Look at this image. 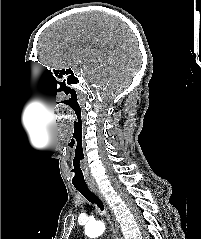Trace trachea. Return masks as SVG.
<instances>
[{
  "instance_id": "3493384b",
  "label": "trachea",
  "mask_w": 201,
  "mask_h": 239,
  "mask_svg": "<svg viewBox=\"0 0 201 239\" xmlns=\"http://www.w3.org/2000/svg\"><path fill=\"white\" fill-rule=\"evenodd\" d=\"M76 190L79 191L90 203L96 204L97 207L103 211L104 210V204L99 199V197L91 192L87 186H75Z\"/></svg>"
}]
</instances>
